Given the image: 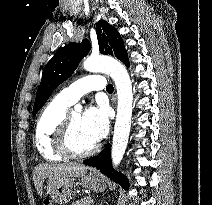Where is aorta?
Masks as SVG:
<instances>
[{
	"label": "aorta",
	"mask_w": 212,
	"mask_h": 205,
	"mask_svg": "<svg viewBox=\"0 0 212 205\" xmlns=\"http://www.w3.org/2000/svg\"><path fill=\"white\" fill-rule=\"evenodd\" d=\"M89 72H103L115 82L117 89V116L112 141L111 158L115 168L121 163L127 148L133 109L132 82L126 68L107 56H90L83 63ZM80 110V107H77Z\"/></svg>",
	"instance_id": "aorta-1"
}]
</instances>
